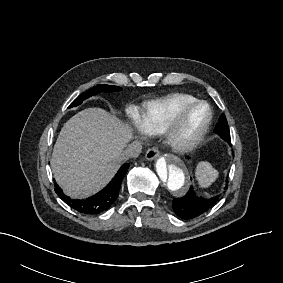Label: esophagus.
I'll return each instance as SVG.
<instances>
[{"mask_svg": "<svg viewBox=\"0 0 283 283\" xmlns=\"http://www.w3.org/2000/svg\"><path fill=\"white\" fill-rule=\"evenodd\" d=\"M158 156H159V150L156 147L149 148L145 154V158L150 161L156 159ZM168 158L172 160L174 156L168 155Z\"/></svg>", "mask_w": 283, "mask_h": 283, "instance_id": "esophagus-1", "label": "esophagus"}]
</instances>
